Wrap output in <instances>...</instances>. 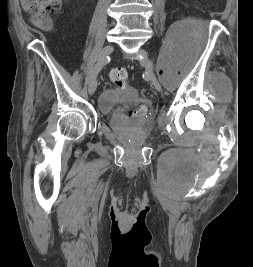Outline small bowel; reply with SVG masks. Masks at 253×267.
<instances>
[{
    "label": "small bowel",
    "instance_id": "small-bowel-1",
    "mask_svg": "<svg viewBox=\"0 0 253 267\" xmlns=\"http://www.w3.org/2000/svg\"><path fill=\"white\" fill-rule=\"evenodd\" d=\"M31 23L38 29L50 33L53 30V21L52 18L48 15L44 16H35L30 17Z\"/></svg>",
    "mask_w": 253,
    "mask_h": 267
}]
</instances>
